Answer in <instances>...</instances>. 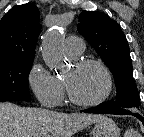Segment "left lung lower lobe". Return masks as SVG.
Returning a JSON list of instances; mask_svg holds the SVG:
<instances>
[{
	"instance_id": "0a47b994",
	"label": "left lung lower lobe",
	"mask_w": 144,
	"mask_h": 137,
	"mask_svg": "<svg viewBox=\"0 0 144 137\" xmlns=\"http://www.w3.org/2000/svg\"><path fill=\"white\" fill-rule=\"evenodd\" d=\"M82 112L99 113V114L107 113V114L133 115V116L137 117L138 119H140L142 121V123L144 124V117L141 116L140 114L132 113V112L125 110V109H113V108H110L108 106V104H100L97 107L85 109Z\"/></svg>"
}]
</instances>
